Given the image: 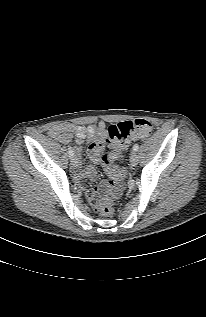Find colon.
<instances>
[{
    "label": "colon",
    "mask_w": 206,
    "mask_h": 317,
    "mask_svg": "<svg viewBox=\"0 0 206 317\" xmlns=\"http://www.w3.org/2000/svg\"><path fill=\"white\" fill-rule=\"evenodd\" d=\"M151 131L152 124L146 119L123 121L108 128L107 142L118 151L123 149L131 139L148 137ZM101 159L110 177V181L101 187V192L117 195L123 188L125 172L113 164L111 156L102 153ZM98 209L103 215H111L114 211L111 197L106 196Z\"/></svg>",
    "instance_id": "obj_1"
}]
</instances>
